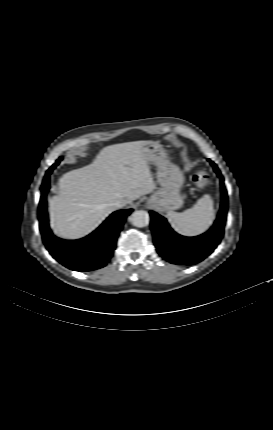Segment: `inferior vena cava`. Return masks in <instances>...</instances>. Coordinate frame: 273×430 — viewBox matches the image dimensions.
Wrapping results in <instances>:
<instances>
[{
    "mask_svg": "<svg viewBox=\"0 0 273 430\" xmlns=\"http://www.w3.org/2000/svg\"><path fill=\"white\" fill-rule=\"evenodd\" d=\"M129 202L126 199H120L118 201H116L115 203V208L119 209L122 208L124 206H126Z\"/></svg>",
    "mask_w": 273,
    "mask_h": 430,
    "instance_id": "obj_1",
    "label": "inferior vena cava"
}]
</instances>
